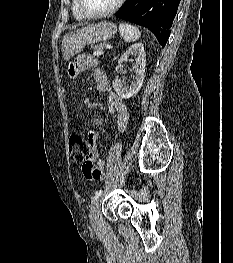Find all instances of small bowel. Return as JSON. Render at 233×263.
<instances>
[{
    "mask_svg": "<svg viewBox=\"0 0 233 263\" xmlns=\"http://www.w3.org/2000/svg\"><path fill=\"white\" fill-rule=\"evenodd\" d=\"M89 69L93 70L97 90L106 97L108 111L116 117L117 130L121 133L124 132L129 120L127 107L123 100L113 91L106 73L98 67V60L91 55H80L70 64L68 73L71 77H76ZM89 139L92 146L89 156L90 163L94 165L97 162L96 166L104 168L105 162L101 159L98 160L97 134L92 132Z\"/></svg>",
    "mask_w": 233,
    "mask_h": 263,
    "instance_id": "c3829d8e",
    "label": "small bowel"
}]
</instances>
